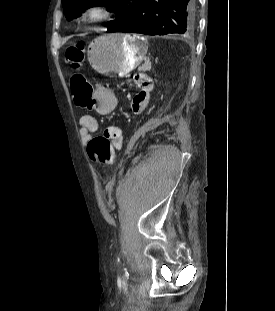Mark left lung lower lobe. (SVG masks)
I'll return each mask as SVG.
<instances>
[{"label": "left lung lower lobe", "mask_w": 275, "mask_h": 311, "mask_svg": "<svg viewBox=\"0 0 275 311\" xmlns=\"http://www.w3.org/2000/svg\"><path fill=\"white\" fill-rule=\"evenodd\" d=\"M196 0H142L136 17L118 30L146 35L189 34L195 28Z\"/></svg>", "instance_id": "1"}]
</instances>
